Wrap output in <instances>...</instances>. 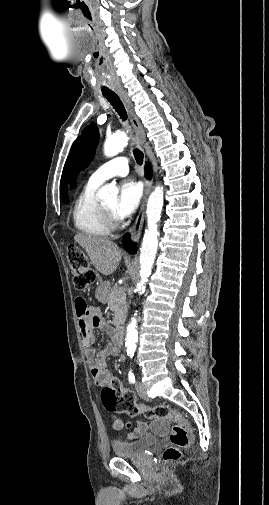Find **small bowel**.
<instances>
[{
    "instance_id": "1",
    "label": "small bowel",
    "mask_w": 269,
    "mask_h": 505,
    "mask_svg": "<svg viewBox=\"0 0 269 505\" xmlns=\"http://www.w3.org/2000/svg\"><path fill=\"white\" fill-rule=\"evenodd\" d=\"M76 313L78 318V325L82 344L85 348V353L91 364V375L97 386H104L112 377L107 370L106 361L108 356L114 355L118 352V345L116 343L107 344L102 350L95 353L92 345L94 343L93 329H99L106 333H113L112 327L103 319L101 312L96 307H82L86 305L83 298L76 299ZM113 427L116 430L123 428V422L120 418L112 416ZM149 428L160 436L167 434L169 424L167 418H157L151 425L146 422H139L134 430L133 436H140L145 434Z\"/></svg>"
}]
</instances>
